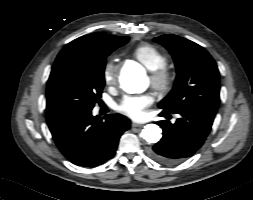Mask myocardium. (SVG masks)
<instances>
[{"mask_svg":"<svg viewBox=\"0 0 253 200\" xmlns=\"http://www.w3.org/2000/svg\"><path fill=\"white\" fill-rule=\"evenodd\" d=\"M173 73L165 66L151 71L150 81L153 89L160 94L167 93L173 85Z\"/></svg>","mask_w":253,"mask_h":200,"instance_id":"myocardium-1","label":"myocardium"}]
</instances>
